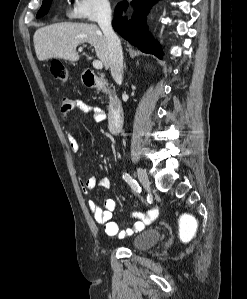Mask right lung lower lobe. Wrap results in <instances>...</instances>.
<instances>
[{
  "label": "right lung lower lobe",
  "instance_id": "obj_1",
  "mask_svg": "<svg viewBox=\"0 0 247 299\" xmlns=\"http://www.w3.org/2000/svg\"><path fill=\"white\" fill-rule=\"evenodd\" d=\"M157 0H133L132 6L134 13L131 20L122 17V11L128 6V3L121 2L116 7L115 19L113 20L114 30L129 43L136 46L142 52L154 54L162 57L161 46L153 42L146 26V16L151 6Z\"/></svg>",
  "mask_w": 247,
  "mask_h": 299
}]
</instances>
